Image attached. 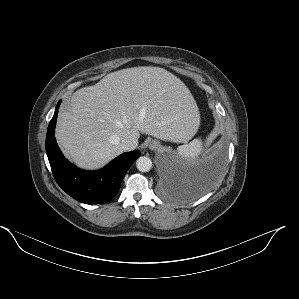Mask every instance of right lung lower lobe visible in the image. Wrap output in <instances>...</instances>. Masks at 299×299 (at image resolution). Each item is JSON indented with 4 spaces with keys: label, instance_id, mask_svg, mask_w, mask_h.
Wrapping results in <instances>:
<instances>
[{
    "label": "right lung lower lobe",
    "instance_id": "98d812e1",
    "mask_svg": "<svg viewBox=\"0 0 299 299\" xmlns=\"http://www.w3.org/2000/svg\"><path fill=\"white\" fill-rule=\"evenodd\" d=\"M59 105L60 101L46 136V152L53 176L58 185L74 199L87 204L107 203L117 194L127 170L141 153L138 150L124 153L94 172L76 168L64 158L54 137Z\"/></svg>",
    "mask_w": 299,
    "mask_h": 299
}]
</instances>
